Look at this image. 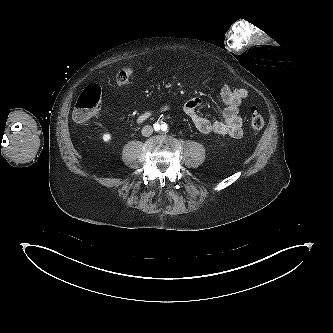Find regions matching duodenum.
Returning a JSON list of instances; mask_svg holds the SVG:
<instances>
[{
    "mask_svg": "<svg viewBox=\"0 0 333 333\" xmlns=\"http://www.w3.org/2000/svg\"><path fill=\"white\" fill-rule=\"evenodd\" d=\"M166 109V108H164ZM151 112H144L143 114H141L139 117H138V122H142L144 120H146L147 118H149L151 116Z\"/></svg>",
    "mask_w": 333,
    "mask_h": 333,
    "instance_id": "obj_1",
    "label": "duodenum"
}]
</instances>
